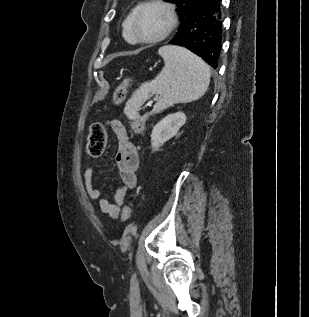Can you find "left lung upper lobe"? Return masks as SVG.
I'll use <instances>...</instances> for the list:
<instances>
[{"label": "left lung upper lobe", "mask_w": 309, "mask_h": 317, "mask_svg": "<svg viewBox=\"0 0 309 317\" xmlns=\"http://www.w3.org/2000/svg\"><path fill=\"white\" fill-rule=\"evenodd\" d=\"M168 2L175 3L177 5V13L180 16L181 26L182 28L185 24V21L192 14V12L200 7L207 0H165Z\"/></svg>", "instance_id": "left-lung-upper-lobe-1"}]
</instances>
